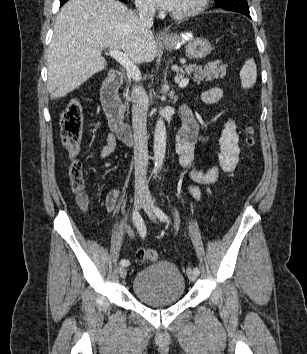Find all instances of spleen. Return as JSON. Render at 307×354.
Wrapping results in <instances>:
<instances>
[{
    "label": "spleen",
    "instance_id": "obj_1",
    "mask_svg": "<svg viewBox=\"0 0 307 354\" xmlns=\"http://www.w3.org/2000/svg\"><path fill=\"white\" fill-rule=\"evenodd\" d=\"M241 85L247 89L252 87L257 79L256 64L253 59H248L240 71Z\"/></svg>",
    "mask_w": 307,
    "mask_h": 354
}]
</instances>
